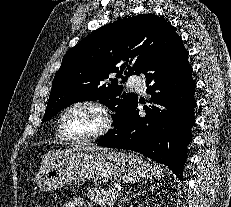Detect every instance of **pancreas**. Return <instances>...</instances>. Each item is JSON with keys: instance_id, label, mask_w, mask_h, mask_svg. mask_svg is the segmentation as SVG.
Wrapping results in <instances>:
<instances>
[{"instance_id": "pancreas-1", "label": "pancreas", "mask_w": 231, "mask_h": 207, "mask_svg": "<svg viewBox=\"0 0 231 207\" xmlns=\"http://www.w3.org/2000/svg\"><path fill=\"white\" fill-rule=\"evenodd\" d=\"M118 191L113 188H92L87 193L88 199L100 207H106L107 205L113 204L117 199Z\"/></svg>"}]
</instances>
